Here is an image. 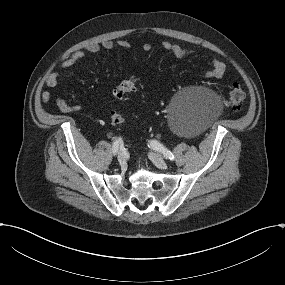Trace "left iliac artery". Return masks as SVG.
Returning a JSON list of instances; mask_svg holds the SVG:
<instances>
[{"label":"left iliac artery","mask_w":285,"mask_h":285,"mask_svg":"<svg viewBox=\"0 0 285 285\" xmlns=\"http://www.w3.org/2000/svg\"><path fill=\"white\" fill-rule=\"evenodd\" d=\"M148 147L160 152L166 159H170L171 161L175 160V156L173 155V153L169 151L163 144L159 143L156 140L149 141Z\"/></svg>","instance_id":"1"}]
</instances>
